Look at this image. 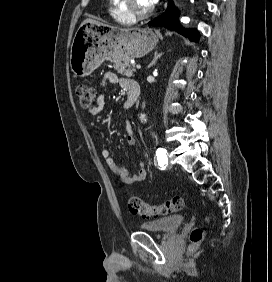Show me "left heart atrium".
<instances>
[{"mask_svg": "<svg viewBox=\"0 0 272 282\" xmlns=\"http://www.w3.org/2000/svg\"><path fill=\"white\" fill-rule=\"evenodd\" d=\"M158 0H149L151 5H154Z\"/></svg>", "mask_w": 272, "mask_h": 282, "instance_id": "39dd6f15", "label": "left heart atrium"}]
</instances>
